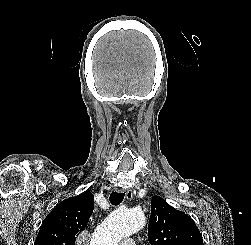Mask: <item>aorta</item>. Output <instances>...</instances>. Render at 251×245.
<instances>
[{
	"instance_id": "aorta-1",
	"label": "aorta",
	"mask_w": 251,
	"mask_h": 245,
	"mask_svg": "<svg viewBox=\"0 0 251 245\" xmlns=\"http://www.w3.org/2000/svg\"><path fill=\"white\" fill-rule=\"evenodd\" d=\"M146 223L138 209H118L111 213L95 230L90 245H118L126 237L138 232Z\"/></svg>"
}]
</instances>
